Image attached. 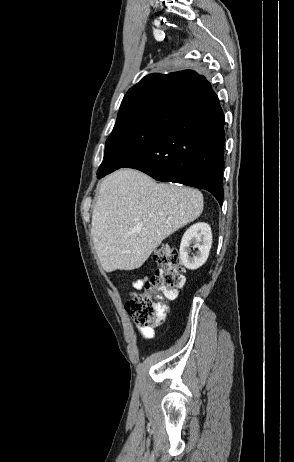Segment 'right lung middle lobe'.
<instances>
[{"instance_id":"dd1d6c3e","label":"right lung middle lobe","mask_w":294,"mask_h":462,"mask_svg":"<svg viewBox=\"0 0 294 462\" xmlns=\"http://www.w3.org/2000/svg\"><path fill=\"white\" fill-rule=\"evenodd\" d=\"M186 104L184 96L170 93L119 111L97 176L107 175L124 165L145 143L162 132Z\"/></svg>"}]
</instances>
